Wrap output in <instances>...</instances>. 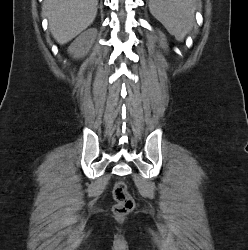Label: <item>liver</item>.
<instances>
[{"instance_id": "1", "label": "liver", "mask_w": 248, "mask_h": 250, "mask_svg": "<svg viewBox=\"0 0 248 250\" xmlns=\"http://www.w3.org/2000/svg\"><path fill=\"white\" fill-rule=\"evenodd\" d=\"M98 0H44L43 9L53 38L64 45L90 26Z\"/></svg>"}]
</instances>
